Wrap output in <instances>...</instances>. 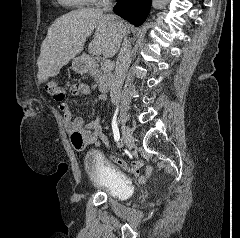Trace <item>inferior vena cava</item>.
I'll list each match as a JSON object with an SVG mask.
<instances>
[{
    "label": "inferior vena cava",
    "mask_w": 240,
    "mask_h": 238,
    "mask_svg": "<svg viewBox=\"0 0 240 238\" xmlns=\"http://www.w3.org/2000/svg\"><path fill=\"white\" fill-rule=\"evenodd\" d=\"M111 10H112V5L106 4L101 11L109 12ZM108 17L116 25H119V26L123 25V22L120 19H118L115 15H108ZM127 33H128V30L125 31V34L123 36L124 40H123L120 52L118 54L114 76H113L111 89H110V97L113 104H118L120 100L121 88L131 63V43L129 39H127L126 37Z\"/></svg>",
    "instance_id": "602c4592"
}]
</instances>
